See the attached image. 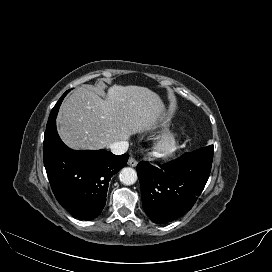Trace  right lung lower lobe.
I'll return each instance as SVG.
<instances>
[{
  "label": "right lung lower lobe",
  "instance_id": "98d812e1",
  "mask_svg": "<svg viewBox=\"0 0 272 272\" xmlns=\"http://www.w3.org/2000/svg\"><path fill=\"white\" fill-rule=\"evenodd\" d=\"M51 111L44 134V166L58 202L74 217L92 220L102 211L111 177L129 155L106 150L75 151L58 136L55 118L64 96Z\"/></svg>",
  "mask_w": 272,
  "mask_h": 272
}]
</instances>
